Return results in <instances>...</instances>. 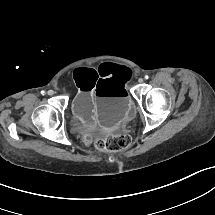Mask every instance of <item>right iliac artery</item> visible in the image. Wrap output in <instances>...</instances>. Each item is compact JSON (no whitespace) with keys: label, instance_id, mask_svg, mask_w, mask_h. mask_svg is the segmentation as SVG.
I'll list each match as a JSON object with an SVG mask.
<instances>
[{"label":"right iliac artery","instance_id":"right-iliac-artery-1","mask_svg":"<svg viewBox=\"0 0 215 215\" xmlns=\"http://www.w3.org/2000/svg\"><path fill=\"white\" fill-rule=\"evenodd\" d=\"M41 93L44 95V94H45V91H41Z\"/></svg>","mask_w":215,"mask_h":215}]
</instances>
